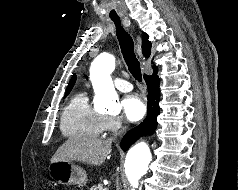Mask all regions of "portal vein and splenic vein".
<instances>
[{
    "label": "portal vein and splenic vein",
    "mask_w": 238,
    "mask_h": 190,
    "mask_svg": "<svg viewBox=\"0 0 238 190\" xmlns=\"http://www.w3.org/2000/svg\"><path fill=\"white\" fill-rule=\"evenodd\" d=\"M103 190H108L107 188H104Z\"/></svg>",
    "instance_id": "obj_1"
}]
</instances>
